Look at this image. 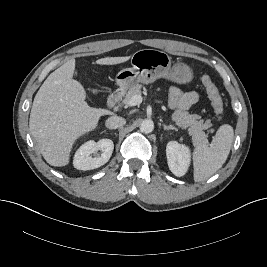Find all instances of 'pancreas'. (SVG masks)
<instances>
[{"instance_id": "obj_1", "label": "pancreas", "mask_w": 267, "mask_h": 267, "mask_svg": "<svg viewBox=\"0 0 267 267\" xmlns=\"http://www.w3.org/2000/svg\"><path fill=\"white\" fill-rule=\"evenodd\" d=\"M141 89L142 86L139 84L133 86L126 93L122 103L128 105L133 96L141 94ZM171 118L177 126L188 129L194 144L207 143V135L205 134L204 130L212 126L210 121L204 122L200 115L189 114L187 111L183 110H175Z\"/></svg>"}]
</instances>
